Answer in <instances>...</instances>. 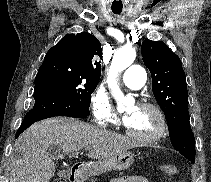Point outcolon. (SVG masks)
<instances>
[{
    "label": "colon",
    "mask_w": 211,
    "mask_h": 182,
    "mask_svg": "<svg viewBox=\"0 0 211 182\" xmlns=\"http://www.w3.org/2000/svg\"><path fill=\"white\" fill-rule=\"evenodd\" d=\"M161 172L166 176H175L177 174V168L174 165L164 164L160 167ZM53 182H65L64 180L57 179Z\"/></svg>",
    "instance_id": "1"
}]
</instances>
